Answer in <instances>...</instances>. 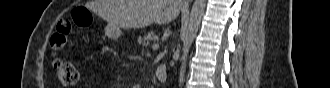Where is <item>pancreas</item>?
<instances>
[{"mask_svg":"<svg viewBox=\"0 0 330 88\" xmlns=\"http://www.w3.org/2000/svg\"><path fill=\"white\" fill-rule=\"evenodd\" d=\"M159 37L154 32H149L147 35L143 37H139L138 43L146 46L152 42L158 41Z\"/></svg>","mask_w":330,"mask_h":88,"instance_id":"1","label":"pancreas"}]
</instances>
